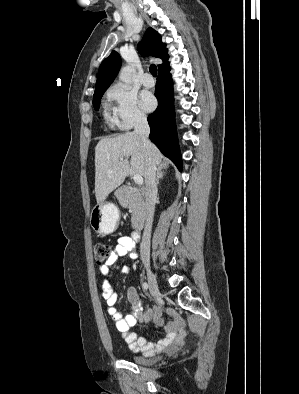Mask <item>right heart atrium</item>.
I'll return each instance as SVG.
<instances>
[{"label": "right heart atrium", "mask_w": 299, "mask_h": 394, "mask_svg": "<svg viewBox=\"0 0 299 394\" xmlns=\"http://www.w3.org/2000/svg\"><path fill=\"white\" fill-rule=\"evenodd\" d=\"M107 100L113 121L119 129L129 130L146 121L136 94L122 84H115L108 90Z\"/></svg>", "instance_id": "d8ad5b80"}]
</instances>
